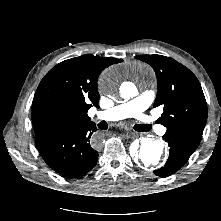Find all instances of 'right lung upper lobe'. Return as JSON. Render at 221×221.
<instances>
[{"label":"right lung upper lobe","mask_w":221,"mask_h":221,"mask_svg":"<svg viewBox=\"0 0 221 221\" xmlns=\"http://www.w3.org/2000/svg\"><path fill=\"white\" fill-rule=\"evenodd\" d=\"M122 59L91 54L65 60L41 80L32 103L35 135L66 126L91 122L87 112L98 106L100 73Z\"/></svg>","instance_id":"obj_1"}]
</instances>
